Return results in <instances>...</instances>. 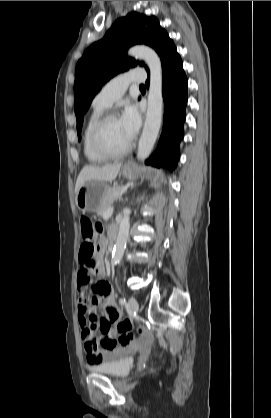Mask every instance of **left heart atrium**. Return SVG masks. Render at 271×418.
I'll use <instances>...</instances> for the list:
<instances>
[{"instance_id": "left-heart-atrium-1", "label": "left heart atrium", "mask_w": 271, "mask_h": 418, "mask_svg": "<svg viewBox=\"0 0 271 418\" xmlns=\"http://www.w3.org/2000/svg\"><path fill=\"white\" fill-rule=\"evenodd\" d=\"M119 119L127 137L132 140L141 125V117L138 109L134 105L126 106Z\"/></svg>"}]
</instances>
